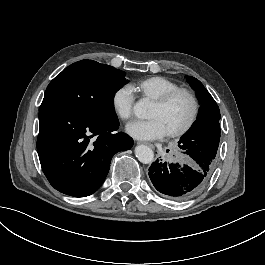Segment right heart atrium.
<instances>
[{
	"label": "right heart atrium",
	"mask_w": 265,
	"mask_h": 265,
	"mask_svg": "<svg viewBox=\"0 0 265 265\" xmlns=\"http://www.w3.org/2000/svg\"><path fill=\"white\" fill-rule=\"evenodd\" d=\"M110 104L114 108L118 122L126 124L132 118V108L137 105V100L132 97L128 87L121 85L110 97Z\"/></svg>",
	"instance_id": "obj_1"
}]
</instances>
